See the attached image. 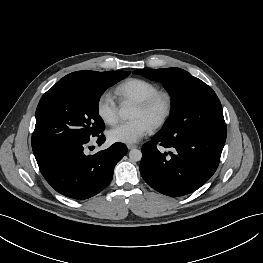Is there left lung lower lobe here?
I'll use <instances>...</instances> for the list:
<instances>
[{"label":"left lung lower lobe","instance_id":"0a47b994","mask_svg":"<svg viewBox=\"0 0 263 263\" xmlns=\"http://www.w3.org/2000/svg\"><path fill=\"white\" fill-rule=\"evenodd\" d=\"M226 134V130L169 136L158 133L142 147L140 173L149 186L162 194H189L216 171ZM157 144L174 152L161 153Z\"/></svg>","mask_w":263,"mask_h":263}]
</instances>
